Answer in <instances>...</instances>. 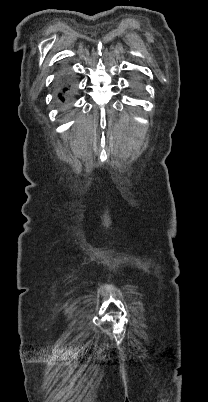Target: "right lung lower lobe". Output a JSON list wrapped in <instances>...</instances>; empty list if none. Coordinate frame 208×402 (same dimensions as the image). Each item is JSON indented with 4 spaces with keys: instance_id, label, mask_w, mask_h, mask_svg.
Returning <instances> with one entry per match:
<instances>
[{
    "instance_id": "obj_1",
    "label": "right lung lower lobe",
    "mask_w": 208,
    "mask_h": 402,
    "mask_svg": "<svg viewBox=\"0 0 208 402\" xmlns=\"http://www.w3.org/2000/svg\"><path fill=\"white\" fill-rule=\"evenodd\" d=\"M58 91H59L58 98H59V101H61V102H64L65 100L69 99V97L71 96L69 85L67 83L62 84L59 87Z\"/></svg>"
}]
</instances>
